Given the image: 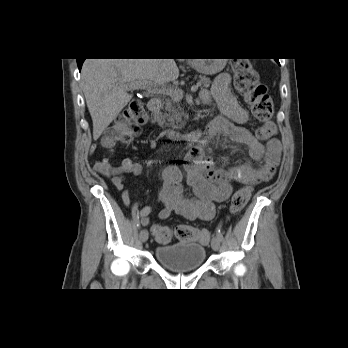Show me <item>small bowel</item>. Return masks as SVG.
I'll use <instances>...</instances> for the list:
<instances>
[{
    "instance_id": "1",
    "label": "small bowel",
    "mask_w": 348,
    "mask_h": 348,
    "mask_svg": "<svg viewBox=\"0 0 348 348\" xmlns=\"http://www.w3.org/2000/svg\"><path fill=\"white\" fill-rule=\"evenodd\" d=\"M230 83V75L222 73L211 90L203 89L200 92L204 104L215 100L222 113L210 122L208 130L213 135L220 134L246 147L250 162L233 168L217 167L202 147H192L187 155L188 164L183 167L170 165L164 170L158 194L162 205L160 219H167L175 212L189 220L210 221L215 216L216 203L224 202L231 196L234 184L253 185L269 180L275 173L280 161L281 143L277 138H272L263 145L243 127L248 121V113L231 92ZM94 168L121 192L123 203L131 208L134 217L142 225L149 226L152 207L132 204L129 191L125 188L126 175H141L142 165L130 158H123L119 166L102 160ZM184 179L193 187L196 198L183 194L181 182Z\"/></svg>"
}]
</instances>
